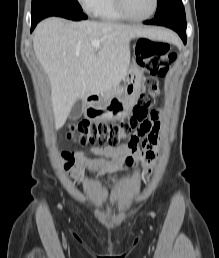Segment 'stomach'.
I'll return each instance as SVG.
<instances>
[{"label": "stomach", "mask_w": 219, "mask_h": 258, "mask_svg": "<svg viewBox=\"0 0 219 258\" xmlns=\"http://www.w3.org/2000/svg\"><path fill=\"white\" fill-rule=\"evenodd\" d=\"M134 59L122 87L113 88L87 102L84 114L92 121L122 120L128 116L141 91L144 73L137 62L136 45H133Z\"/></svg>", "instance_id": "stomach-1"}]
</instances>
